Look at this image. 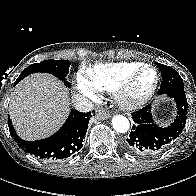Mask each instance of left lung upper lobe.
<instances>
[{
  "label": "left lung upper lobe",
  "mask_w": 196,
  "mask_h": 196,
  "mask_svg": "<svg viewBox=\"0 0 196 196\" xmlns=\"http://www.w3.org/2000/svg\"><path fill=\"white\" fill-rule=\"evenodd\" d=\"M156 65L158 66V68H160L159 70H161V68H163V69H166V68L172 69L171 67L166 66V65H163V64H160V63H156ZM175 73H176V79H177L176 82L178 83V84L176 85L177 87H174L173 85H170L169 80H167L168 83L162 81L161 87H160V91H161L162 93H170V92H173V91H175V90H182V91H184L183 80H182V78L180 77V75L177 73L176 70H175ZM171 87H174V88L172 89Z\"/></svg>",
  "instance_id": "5c2ea615"
}]
</instances>
